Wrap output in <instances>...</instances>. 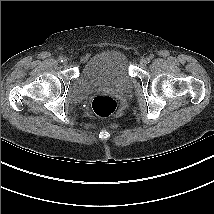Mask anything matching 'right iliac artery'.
Masks as SVG:
<instances>
[{"label": "right iliac artery", "instance_id": "obj_1", "mask_svg": "<svg viewBox=\"0 0 214 214\" xmlns=\"http://www.w3.org/2000/svg\"><path fill=\"white\" fill-rule=\"evenodd\" d=\"M58 61H59V62H63V61H64V58L60 56V57L58 58Z\"/></svg>", "mask_w": 214, "mask_h": 214}]
</instances>
